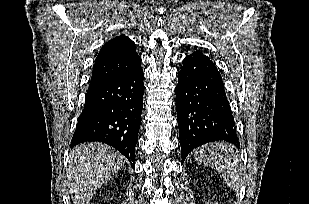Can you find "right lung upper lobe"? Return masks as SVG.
Instances as JSON below:
<instances>
[{"mask_svg": "<svg viewBox=\"0 0 309 204\" xmlns=\"http://www.w3.org/2000/svg\"><path fill=\"white\" fill-rule=\"evenodd\" d=\"M140 63L135 43L124 35L117 36L105 43L99 51L90 86L127 73Z\"/></svg>", "mask_w": 309, "mask_h": 204, "instance_id": "cb5924a9", "label": "right lung upper lobe"}]
</instances>
